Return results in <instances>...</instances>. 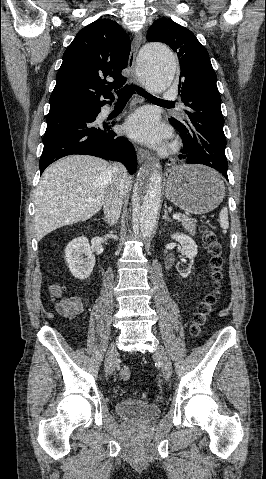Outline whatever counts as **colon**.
Returning <instances> with one entry per match:
<instances>
[{
	"instance_id": "5ec220e1",
	"label": "colon",
	"mask_w": 266,
	"mask_h": 479,
	"mask_svg": "<svg viewBox=\"0 0 266 479\" xmlns=\"http://www.w3.org/2000/svg\"><path fill=\"white\" fill-rule=\"evenodd\" d=\"M200 230L202 233L203 241L211 255L210 265L213 282L211 292L208 293L205 299L199 304L197 312L194 315L193 324L191 326V334L193 336H198L203 326L207 323V320L212 312L213 306L217 302V297L223 278L222 245L218 239V236L214 230L210 229L206 225H202ZM120 377L123 380H128L131 377L130 369H121Z\"/></svg>"
}]
</instances>
